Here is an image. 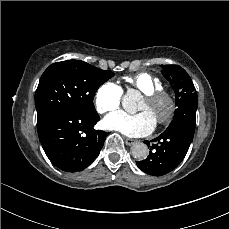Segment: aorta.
I'll return each instance as SVG.
<instances>
[{"label":"aorta","mask_w":229,"mask_h":229,"mask_svg":"<svg viewBox=\"0 0 229 229\" xmlns=\"http://www.w3.org/2000/svg\"><path fill=\"white\" fill-rule=\"evenodd\" d=\"M138 94L134 91L128 92L122 99L123 108L127 111H134L137 106ZM148 147L146 144L137 142L131 147V154L134 158L143 160L148 155Z\"/></svg>","instance_id":"1"}]
</instances>
